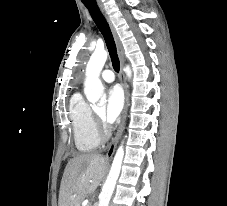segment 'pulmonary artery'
I'll list each match as a JSON object with an SVG mask.
<instances>
[{"label":"pulmonary artery","instance_id":"pulmonary-artery-1","mask_svg":"<svg viewBox=\"0 0 227 206\" xmlns=\"http://www.w3.org/2000/svg\"><path fill=\"white\" fill-rule=\"evenodd\" d=\"M101 78H102L103 81H105L107 83H111V82L114 81L115 76H114V73L111 70L106 69L101 73Z\"/></svg>","mask_w":227,"mask_h":206}]
</instances>
